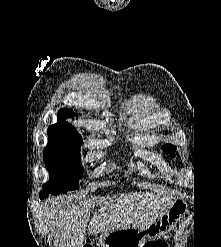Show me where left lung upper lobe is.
I'll list each match as a JSON object with an SVG mask.
<instances>
[{
    "mask_svg": "<svg viewBox=\"0 0 221 247\" xmlns=\"http://www.w3.org/2000/svg\"><path fill=\"white\" fill-rule=\"evenodd\" d=\"M162 148H163V150H165L168 153H170L172 156L176 155V147L174 145L166 144Z\"/></svg>",
    "mask_w": 221,
    "mask_h": 247,
    "instance_id": "1",
    "label": "left lung upper lobe"
}]
</instances>
